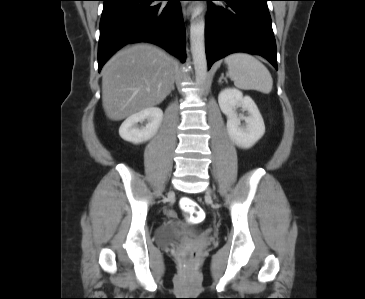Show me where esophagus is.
Segmentation results:
<instances>
[{"mask_svg":"<svg viewBox=\"0 0 365 299\" xmlns=\"http://www.w3.org/2000/svg\"><path fill=\"white\" fill-rule=\"evenodd\" d=\"M192 10H193L192 5H184V7H183V11L186 16H189L191 14Z\"/></svg>","mask_w":365,"mask_h":299,"instance_id":"esophagus-1","label":"esophagus"}]
</instances>
